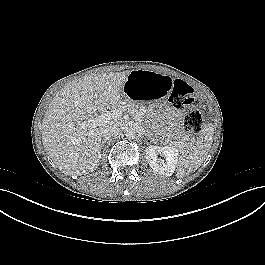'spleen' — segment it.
Returning <instances> with one entry per match:
<instances>
[{"label": "spleen", "instance_id": "spleen-1", "mask_svg": "<svg viewBox=\"0 0 265 265\" xmlns=\"http://www.w3.org/2000/svg\"><path fill=\"white\" fill-rule=\"evenodd\" d=\"M212 137V129L206 128L200 136V140L191 148L189 154H185L179 158L176 165V175L178 178L184 177L186 174L197 170L201 166L211 148Z\"/></svg>", "mask_w": 265, "mask_h": 265}]
</instances>
